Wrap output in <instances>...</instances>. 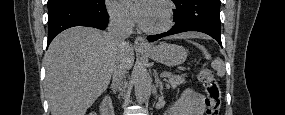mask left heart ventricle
Segmentation results:
<instances>
[{"label": "left heart ventricle", "instance_id": "obj_1", "mask_svg": "<svg viewBox=\"0 0 285 115\" xmlns=\"http://www.w3.org/2000/svg\"><path fill=\"white\" fill-rule=\"evenodd\" d=\"M163 17V9L158 5H153V11L148 27H155L161 23Z\"/></svg>", "mask_w": 285, "mask_h": 115}]
</instances>
